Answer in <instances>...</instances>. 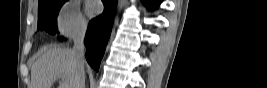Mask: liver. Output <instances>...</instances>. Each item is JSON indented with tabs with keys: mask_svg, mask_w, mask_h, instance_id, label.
<instances>
[{
	"mask_svg": "<svg viewBox=\"0 0 267 88\" xmlns=\"http://www.w3.org/2000/svg\"><path fill=\"white\" fill-rule=\"evenodd\" d=\"M59 76L65 77L59 88H76L77 65L71 49L53 48L41 55L31 69V88H52Z\"/></svg>",
	"mask_w": 267,
	"mask_h": 88,
	"instance_id": "liver-1",
	"label": "liver"
}]
</instances>
